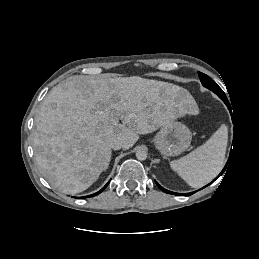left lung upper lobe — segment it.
<instances>
[{
  "label": "left lung upper lobe",
  "mask_w": 259,
  "mask_h": 259,
  "mask_svg": "<svg viewBox=\"0 0 259 259\" xmlns=\"http://www.w3.org/2000/svg\"><path fill=\"white\" fill-rule=\"evenodd\" d=\"M201 83L204 87L210 89L214 93H222V89L206 74L198 72Z\"/></svg>",
  "instance_id": "obj_1"
}]
</instances>
